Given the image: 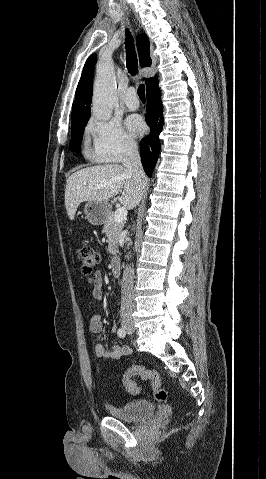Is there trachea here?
<instances>
[{
    "instance_id": "1",
    "label": "trachea",
    "mask_w": 266,
    "mask_h": 479,
    "mask_svg": "<svg viewBox=\"0 0 266 479\" xmlns=\"http://www.w3.org/2000/svg\"><path fill=\"white\" fill-rule=\"evenodd\" d=\"M125 48H126V64H127L128 72L132 76H135L137 72L138 60H137L134 40L131 36V33L128 30H126ZM137 93L141 100H146L144 85H140L138 87Z\"/></svg>"
}]
</instances>
